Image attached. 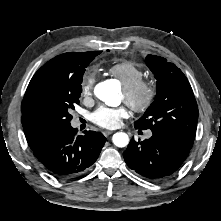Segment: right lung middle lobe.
I'll use <instances>...</instances> for the list:
<instances>
[{
	"mask_svg": "<svg viewBox=\"0 0 221 221\" xmlns=\"http://www.w3.org/2000/svg\"><path fill=\"white\" fill-rule=\"evenodd\" d=\"M100 53L101 51H96L83 58L75 79L60 80L42 88L37 97V112L45 122L58 129L70 125V110L74 109L75 104H79L85 68Z\"/></svg>",
	"mask_w": 221,
	"mask_h": 221,
	"instance_id": "dd1d6c3e",
	"label": "right lung middle lobe"
}]
</instances>
